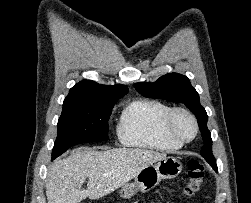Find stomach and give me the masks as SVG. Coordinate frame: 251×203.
I'll list each match as a JSON object with an SVG mask.
<instances>
[{"label":"stomach","instance_id":"1","mask_svg":"<svg viewBox=\"0 0 251 203\" xmlns=\"http://www.w3.org/2000/svg\"><path fill=\"white\" fill-rule=\"evenodd\" d=\"M182 170L181 162L173 157H165L154 164L144 167L134 178V182L124 184L120 196L130 199L138 191L147 192L155 188L162 179H172Z\"/></svg>","mask_w":251,"mask_h":203}]
</instances>
